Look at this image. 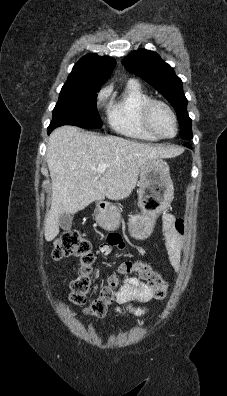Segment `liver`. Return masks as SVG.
<instances>
[{
    "mask_svg": "<svg viewBox=\"0 0 227 396\" xmlns=\"http://www.w3.org/2000/svg\"><path fill=\"white\" fill-rule=\"evenodd\" d=\"M174 147L143 144L117 136H99L75 126L55 129L47 144L46 161L52 180L51 209L44 223L46 241L59 234L62 213L75 214L95 200L128 197L140 168L151 159L172 158ZM100 163L109 166L100 173Z\"/></svg>",
    "mask_w": 227,
    "mask_h": 396,
    "instance_id": "1",
    "label": "liver"
}]
</instances>
